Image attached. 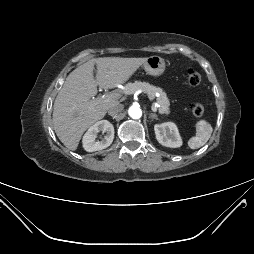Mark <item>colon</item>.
Instances as JSON below:
<instances>
[{"instance_id": "obj_1", "label": "colon", "mask_w": 254, "mask_h": 254, "mask_svg": "<svg viewBox=\"0 0 254 254\" xmlns=\"http://www.w3.org/2000/svg\"><path fill=\"white\" fill-rule=\"evenodd\" d=\"M186 79L189 85L197 86L201 82V75L194 69L188 68L186 70ZM192 112L195 117L200 118L204 114V107L201 103H194L192 106Z\"/></svg>"}]
</instances>
